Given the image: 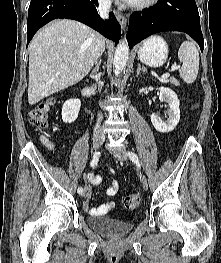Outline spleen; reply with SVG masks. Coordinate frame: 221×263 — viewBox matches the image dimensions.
<instances>
[{"mask_svg": "<svg viewBox=\"0 0 221 263\" xmlns=\"http://www.w3.org/2000/svg\"><path fill=\"white\" fill-rule=\"evenodd\" d=\"M178 58L182 63L180 77L188 84L193 83L199 70V52L195 44L184 41L179 48Z\"/></svg>", "mask_w": 221, "mask_h": 263, "instance_id": "3e777b00", "label": "spleen"}]
</instances>
